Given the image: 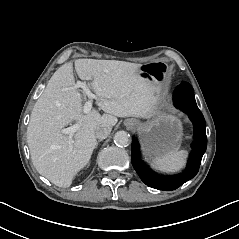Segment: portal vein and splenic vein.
<instances>
[{"label":"portal vein and splenic vein","instance_id":"obj_1","mask_svg":"<svg viewBox=\"0 0 239 239\" xmlns=\"http://www.w3.org/2000/svg\"><path fill=\"white\" fill-rule=\"evenodd\" d=\"M89 79L90 78H88L87 80H89ZM75 87L82 88L84 93L87 95V97L89 99L87 102H85L84 107H83V112L85 114H88L91 111L93 99H97V96L91 92L89 87L86 85V82L77 81ZM79 128H80L79 124H74L73 126L62 129L61 132L63 134L69 135V138L72 139L74 133L77 132L79 130Z\"/></svg>","mask_w":239,"mask_h":239}]
</instances>
